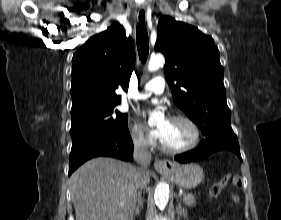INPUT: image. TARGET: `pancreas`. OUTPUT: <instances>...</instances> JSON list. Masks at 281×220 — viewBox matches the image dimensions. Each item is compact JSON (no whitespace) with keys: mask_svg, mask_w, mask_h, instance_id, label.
<instances>
[{"mask_svg":"<svg viewBox=\"0 0 281 220\" xmlns=\"http://www.w3.org/2000/svg\"><path fill=\"white\" fill-rule=\"evenodd\" d=\"M183 195V201L186 203V205H188L189 207H193L196 205L195 197L193 194L185 193Z\"/></svg>","mask_w":281,"mask_h":220,"instance_id":"pancreas-1","label":"pancreas"}]
</instances>
